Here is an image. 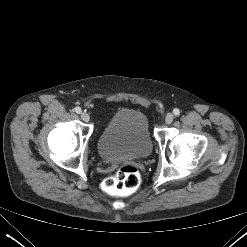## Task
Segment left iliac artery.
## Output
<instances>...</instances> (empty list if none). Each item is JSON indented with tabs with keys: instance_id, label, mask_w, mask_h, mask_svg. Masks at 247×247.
Returning <instances> with one entry per match:
<instances>
[{
	"instance_id": "1",
	"label": "left iliac artery",
	"mask_w": 247,
	"mask_h": 247,
	"mask_svg": "<svg viewBox=\"0 0 247 247\" xmlns=\"http://www.w3.org/2000/svg\"><path fill=\"white\" fill-rule=\"evenodd\" d=\"M173 114H174L175 116L180 115V110H179L178 108H175V109L173 110Z\"/></svg>"
}]
</instances>
